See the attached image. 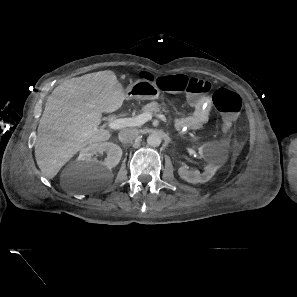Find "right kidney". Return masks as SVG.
Returning <instances> with one entry per match:
<instances>
[{
  "label": "right kidney",
  "mask_w": 297,
  "mask_h": 297,
  "mask_svg": "<svg viewBox=\"0 0 297 297\" xmlns=\"http://www.w3.org/2000/svg\"><path fill=\"white\" fill-rule=\"evenodd\" d=\"M97 153H106L107 157L104 161L94 162L92 157ZM121 156L122 149L118 145L112 142H103L94 143L82 149L78 160L91 164L95 169L99 168L100 166H104L111 170L113 167L117 166Z\"/></svg>",
  "instance_id": "obj_1"
}]
</instances>
